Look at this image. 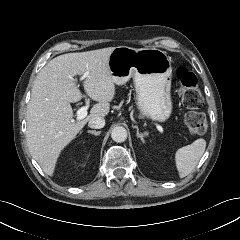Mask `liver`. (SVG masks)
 I'll return each mask as SVG.
<instances>
[{"label":"liver","mask_w":240,"mask_h":240,"mask_svg":"<svg viewBox=\"0 0 240 240\" xmlns=\"http://www.w3.org/2000/svg\"><path fill=\"white\" fill-rule=\"evenodd\" d=\"M115 47L55 57L39 72L27 106V145L43 171L52 176L61 151L93 117L108 115L115 85L108 59ZM87 95L97 101L84 120L75 121L70 103L82 99L74 76H83Z\"/></svg>","instance_id":"1"}]
</instances>
